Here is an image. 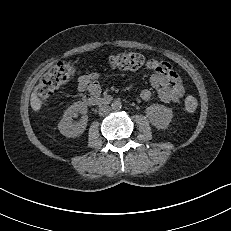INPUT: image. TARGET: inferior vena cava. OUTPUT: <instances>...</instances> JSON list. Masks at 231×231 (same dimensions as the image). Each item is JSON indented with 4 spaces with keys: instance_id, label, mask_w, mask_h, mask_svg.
I'll return each instance as SVG.
<instances>
[{
    "instance_id": "inferior-vena-cava-1",
    "label": "inferior vena cava",
    "mask_w": 231,
    "mask_h": 231,
    "mask_svg": "<svg viewBox=\"0 0 231 231\" xmlns=\"http://www.w3.org/2000/svg\"><path fill=\"white\" fill-rule=\"evenodd\" d=\"M111 111V107L108 105H102L99 108V115L100 116H105Z\"/></svg>"
}]
</instances>
